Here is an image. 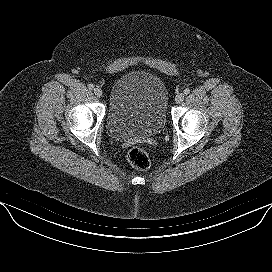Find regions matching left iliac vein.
<instances>
[{
  "label": "left iliac vein",
  "mask_w": 272,
  "mask_h": 272,
  "mask_svg": "<svg viewBox=\"0 0 272 272\" xmlns=\"http://www.w3.org/2000/svg\"><path fill=\"white\" fill-rule=\"evenodd\" d=\"M184 94L183 93H178L176 96H175V102L176 103H181L183 100H184Z\"/></svg>",
  "instance_id": "left-iliac-vein-1"
}]
</instances>
